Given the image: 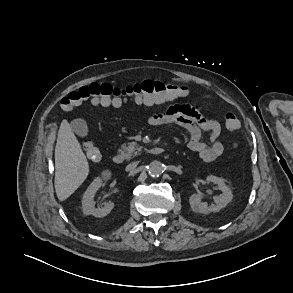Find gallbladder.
Masks as SVG:
<instances>
[{"instance_id": "bac80fb5", "label": "gallbladder", "mask_w": 293, "mask_h": 293, "mask_svg": "<svg viewBox=\"0 0 293 293\" xmlns=\"http://www.w3.org/2000/svg\"><path fill=\"white\" fill-rule=\"evenodd\" d=\"M71 127L73 131L80 137H85L88 135V126L84 119L77 118L71 122Z\"/></svg>"}]
</instances>
